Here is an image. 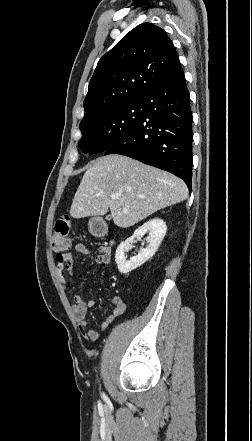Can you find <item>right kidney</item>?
<instances>
[{
	"label": "right kidney",
	"instance_id": "1",
	"mask_svg": "<svg viewBox=\"0 0 252 441\" xmlns=\"http://www.w3.org/2000/svg\"><path fill=\"white\" fill-rule=\"evenodd\" d=\"M148 231L149 235L146 237V241L149 245L146 248H142L138 255L133 256L130 260H126L125 252L128 250L130 243L137 237H143ZM166 231V223L160 218H154L135 230L131 237L121 242L115 254V261L119 272L127 274L149 260L158 250Z\"/></svg>",
	"mask_w": 252,
	"mask_h": 441
}]
</instances>
